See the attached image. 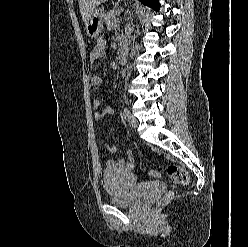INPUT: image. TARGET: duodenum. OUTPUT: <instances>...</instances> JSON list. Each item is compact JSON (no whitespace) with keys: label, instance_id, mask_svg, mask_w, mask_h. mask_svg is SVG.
Listing matches in <instances>:
<instances>
[{"label":"duodenum","instance_id":"410a0bca","mask_svg":"<svg viewBox=\"0 0 248 247\" xmlns=\"http://www.w3.org/2000/svg\"><path fill=\"white\" fill-rule=\"evenodd\" d=\"M128 54L125 50H121L118 55V62L120 65H124L127 61Z\"/></svg>","mask_w":248,"mask_h":247}]
</instances>
